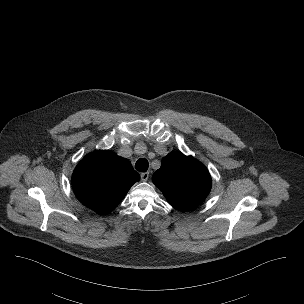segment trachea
I'll list each match as a JSON object with an SVG mask.
<instances>
[{
	"label": "trachea",
	"mask_w": 304,
	"mask_h": 304,
	"mask_svg": "<svg viewBox=\"0 0 304 304\" xmlns=\"http://www.w3.org/2000/svg\"><path fill=\"white\" fill-rule=\"evenodd\" d=\"M149 164L145 158H140L135 164V168L139 172H146L148 170Z\"/></svg>",
	"instance_id": "obj_1"
}]
</instances>
